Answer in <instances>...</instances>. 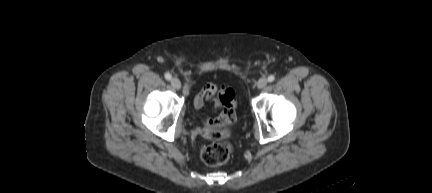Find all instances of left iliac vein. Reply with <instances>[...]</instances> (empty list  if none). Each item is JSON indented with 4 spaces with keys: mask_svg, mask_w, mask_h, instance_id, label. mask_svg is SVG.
Wrapping results in <instances>:
<instances>
[{
    "mask_svg": "<svg viewBox=\"0 0 432 193\" xmlns=\"http://www.w3.org/2000/svg\"><path fill=\"white\" fill-rule=\"evenodd\" d=\"M267 79L266 78H260L258 83H257V87L259 89H263L266 85H267Z\"/></svg>",
    "mask_w": 432,
    "mask_h": 193,
    "instance_id": "left-iliac-vein-1",
    "label": "left iliac vein"
}]
</instances>
